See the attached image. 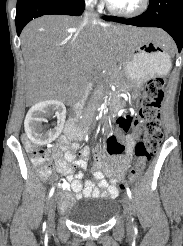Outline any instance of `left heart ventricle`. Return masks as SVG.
<instances>
[{"mask_svg":"<svg viewBox=\"0 0 183 246\" xmlns=\"http://www.w3.org/2000/svg\"><path fill=\"white\" fill-rule=\"evenodd\" d=\"M111 4L120 10H132L135 9L141 0H108Z\"/></svg>","mask_w":183,"mask_h":246,"instance_id":"obj_1","label":"left heart ventricle"}]
</instances>
